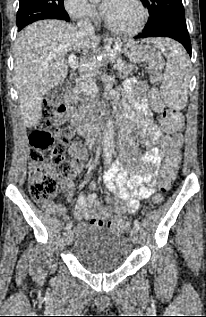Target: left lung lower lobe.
I'll return each instance as SVG.
<instances>
[{"label":"left lung lower lobe","mask_w":206,"mask_h":317,"mask_svg":"<svg viewBox=\"0 0 206 317\" xmlns=\"http://www.w3.org/2000/svg\"><path fill=\"white\" fill-rule=\"evenodd\" d=\"M147 37H169L181 43L191 57L190 37L186 25L178 23H164L157 25L151 29L144 30L143 33L135 36V38Z\"/></svg>","instance_id":"obj_1"}]
</instances>
